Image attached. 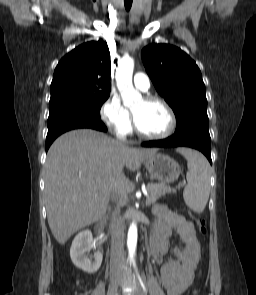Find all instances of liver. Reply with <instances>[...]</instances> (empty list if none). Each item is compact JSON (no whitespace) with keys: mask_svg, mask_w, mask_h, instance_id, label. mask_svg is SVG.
<instances>
[{"mask_svg":"<svg viewBox=\"0 0 256 295\" xmlns=\"http://www.w3.org/2000/svg\"><path fill=\"white\" fill-rule=\"evenodd\" d=\"M155 148H131L103 133L80 129L57 138L45 163V202L48 224L64 245L80 229L99 221L117 187L132 191L123 168L138 169L157 153Z\"/></svg>","mask_w":256,"mask_h":295,"instance_id":"1","label":"liver"}]
</instances>
